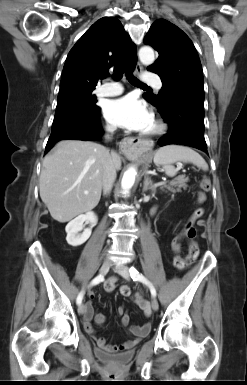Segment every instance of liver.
<instances>
[{"label": "liver", "mask_w": 247, "mask_h": 385, "mask_svg": "<svg viewBox=\"0 0 247 385\" xmlns=\"http://www.w3.org/2000/svg\"><path fill=\"white\" fill-rule=\"evenodd\" d=\"M107 154L119 170L120 156L90 141L62 140L44 158L39 179L40 197L53 219L65 223L98 205Z\"/></svg>", "instance_id": "6515ba94"}]
</instances>
